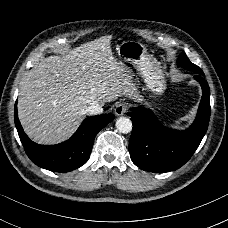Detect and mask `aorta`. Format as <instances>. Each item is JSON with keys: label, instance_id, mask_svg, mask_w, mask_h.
Wrapping results in <instances>:
<instances>
[{"label": "aorta", "instance_id": "obj_1", "mask_svg": "<svg viewBox=\"0 0 228 228\" xmlns=\"http://www.w3.org/2000/svg\"><path fill=\"white\" fill-rule=\"evenodd\" d=\"M115 125L116 129L122 134H129L133 129L132 122L127 117L118 118Z\"/></svg>", "mask_w": 228, "mask_h": 228}]
</instances>
